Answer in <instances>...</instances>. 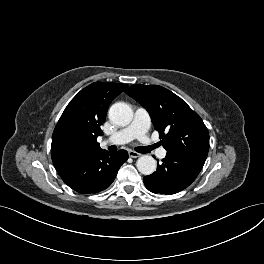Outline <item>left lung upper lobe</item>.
Instances as JSON below:
<instances>
[{
	"mask_svg": "<svg viewBox=\"0 0 264 264\" xmlns=\"http://www.w3.org/2000/svg\"><path fill=\"white\" fill-rule=\"evenodd\" d=\"M126 93L148 111L167 152L185 154L205 163L208 129L180 97L158 85H132Z\"/></svg>",
	"mask_w": 264,
	"mask_h": 264,
	"instance_id": "1",
	"label": "left lung upper lobe"
}]
</instances>
